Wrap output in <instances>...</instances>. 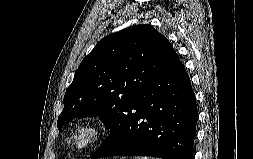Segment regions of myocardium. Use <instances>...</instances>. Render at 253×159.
I'll use <instances>...</instances> for the list:
<instances>
[{
	"mask_svg": "<svg viewBox=\"0 0 253 159\" xmlns=\"http://www.w3.org/2000/svg\"><path fill=\"white\" fill-rule=\"evenodd\" d=\"M106 133V125L98 118L79 121L71 132L70 144L78 152H85L96 144Z\"/></svg>",
	"mask_w": 253,
	"mask_h": 159,
	"instance_id": "f54148a6",
	"label": "myocardium"
}]
</instances>
